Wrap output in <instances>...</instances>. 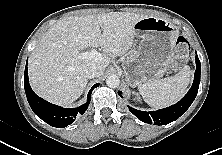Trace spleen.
Returning a JSON list of instances; mask_svg holds the SVG:
<instances>
[{"label": "spleen", "instance_id": "obj_1", "mask_svg": "<svg viewBox=\"0 0 222 155\" xmlns=\"http://www.w3.org/2000/svg\"><path fill=\"white\" fill-rule=\"evenodd\" d=\"M190 73L189 66H185L174 76L140 84L139 92L144 101L153 108L170 106L185 95Z\"/></svg>", "mask_w": 222, "mask_h": 155}]
</instances>
